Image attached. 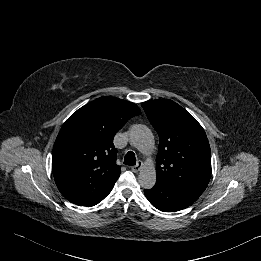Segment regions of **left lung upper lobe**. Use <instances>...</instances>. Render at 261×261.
<instances>
[{"mask_svg": "<svg viewBox=\"0 0 261 261\" xmlns=\"http://www.w3.org/2000/svg\"><path fill=\"white\" fill-rule=\"evenodd\" d=\"M141 105L160 139L156 182L202 194L211 176V150L201 125L172 100Z\"/></svg>", "mask_w": 261, "mask_h": 261, "instance_id": "left-lung-upper-lobe-1", "label": "left lung upper lobe"}]
</instances>
